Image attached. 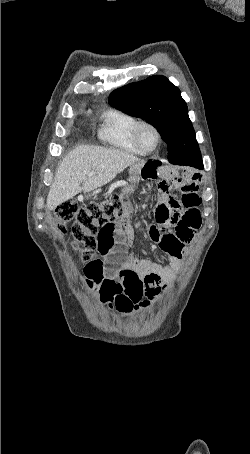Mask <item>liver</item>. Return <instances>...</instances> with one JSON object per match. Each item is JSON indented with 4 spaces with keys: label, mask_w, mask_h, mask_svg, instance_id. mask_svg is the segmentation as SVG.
Listing matches in <instances>:
<instances>
[{
    "label": "liver",
    "mask_w": 250,
    "mask_h": 454,
    "mask_svg": "<svg viewBox=\"0 0 250 454\" xmlns=\"http://www.w3.org/2000/svg\"><path fill=\"white\" fill-rule=\"evenodd\" d=\"M143 164V160L119 149L79 146L60 163L47 196V208L53 210L78 193L106 185L128 166Z\"/></svg>",
    "instance_id": "liver-1"
}]
</instances>
